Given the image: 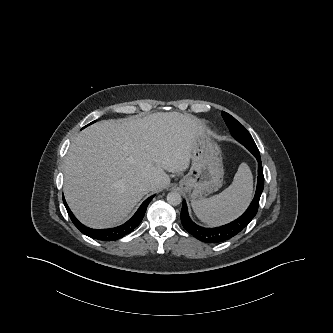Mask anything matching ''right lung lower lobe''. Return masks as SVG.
I'll return each instance as SVG.
<instances>
[{"label": "right lung lower lobe", "mask_w": 333, "mask_h": 333, "mask_svg": "<svg viewBox=\"0 0 333 333\" xmlns=\"http://www.w3.org/2000/svg\"><path fill=\"white\" fill-rule=\"evenodd\" d=\"M153 197H154V195L149 197L148 199H146L141 204V206L136 211V213L133 215V217L130 220H128L126 223H124L121 226H118L115 228H110V229H92V228L84 226L82 223H80L75 218V216L69 209L64 197H63V202H64V205L66 207V210H67L72 222L83 234H85L93 239L111 241V240H117V239L124 237L125 235L132 232L140 224V222L142 221L144 214L146 212L147 206Z\"/></svg>", "instance_id": "right-lung-lower-lobe-1"}]
</instances>
